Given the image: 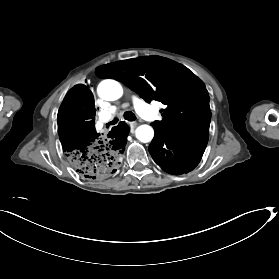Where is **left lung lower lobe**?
I'll list each match as a JSON object with an SVG mask.
<instances>
[{"mask_svg":"<svg viewBox=\"0 0 279 279\" xmlns=\"http://www.w3.org/2000/svg\"><path fill=\"white\" fill-rule=\"evenodd\" d=\"M207 142L208 138L177 136L155 129L149 153L163 171L180 175L190 172L198 165Z\"/></svg>","mask_w":279,"mask_h":279,"instance_id":"1","label":"left lung lower lobe"}]
</instances>
